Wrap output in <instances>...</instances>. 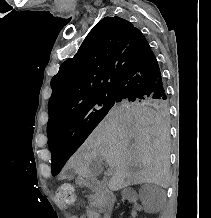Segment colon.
<instances>
[{
    "mask_svg": "<svg viewBox=\"0 0 211 218\" xmlns=\"http://www.w3.org/2000/svg\"><path fill=\"white\" fill-rule=\"evenodd\" d=\"M57 199L64 204H72L75 201V193L70 184H62L56 192Z\"/></svg>",
    "mask_w": 211,
    "mask_h": 218,
    "instance_id": "obj_1",
    "label": "colon"
}]
</instances>
